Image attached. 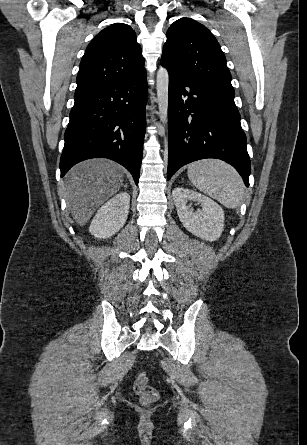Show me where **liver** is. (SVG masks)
I'll return each instance as SVG.
<instances>
[{"mask_svg":"<svg viewBox=\"0 0 307 445\" xmlns=\"http://www.w3.org/2000/svg\"><path fill=\"white\" fill-rule=\"evenodd\" d=\"M123 172V166L108 158L83 160L67 172L61 192L77 225L84 227L94 210L120 190Z\"/></svg>","mask_w":307,"mask_h":445,"instance_id":"obj_1","label":"liver"}]
</instances>
